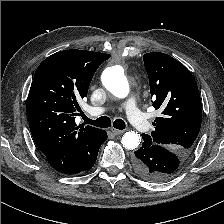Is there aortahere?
I'll use <instances>...</instances> for the list:
<instances>
[{"label": "aorta", "instance_id": "762f6f07", "mask_svg": "<svg viewBox=\"0 0 224 224\" xmlns=\"http://www.w3.org/2000/svg\"><path fill=\"white\" fill-rule=\"evenodd\" d=\"M102 83L105 88L117 98L128 96L130 87L121 66H112L104 70ZM141 138L137 132L128 131L124 133L121 142L124 148L133 150L140 144Z\"/></svg>", "mask_w": 224, "mask_h": 224}]
</instances>
